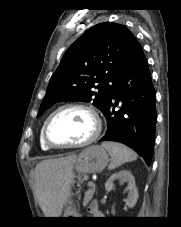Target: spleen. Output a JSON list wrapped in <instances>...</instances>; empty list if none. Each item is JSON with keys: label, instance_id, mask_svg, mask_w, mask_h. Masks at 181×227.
Instances as JSON below:
<instances>
[{"label": "spleen", "instance_id": "obj_1", "mask_svg": "<svg viewBox=\"0 0 181 227\" xmlns=\"http://www.w3.org/2000/svg\"><path fill=\"white\" fill-rule=\"evenodd\" d=\"M101 145L109 152L111 156V163L109 164L110 170L115 169L126 162L137 159V154L121 143L103 142Z\"/></svg>", "mask_w": 181, "mask_h": 227}]
</instances>
